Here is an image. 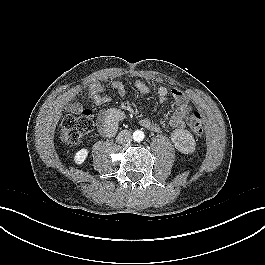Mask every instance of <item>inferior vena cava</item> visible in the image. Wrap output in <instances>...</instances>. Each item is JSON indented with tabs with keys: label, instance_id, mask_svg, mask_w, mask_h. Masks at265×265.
Masks as SVG:
<instances>
[{
	"label": "inferior vena cava",
	"instance_id": "obj_1",
	"mask_svg": "<svg viewBox=\"0 0 265 265\" xmlns=\"http://www.w3.org/2000/svg\"><path fill=\"white\" fill-rule=\"evenodd\" d=\"M132 135L128 130H122L116 137V142L119 144L130 142Z\"/></svg>",
	"mask_w": 265,
	"mask_h": 265
}]
</instances>
